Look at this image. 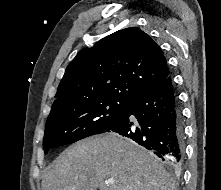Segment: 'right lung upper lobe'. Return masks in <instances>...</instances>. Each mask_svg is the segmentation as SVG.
Wrapping results in <instances>:
<instances>
[{"label":"right lung upper lobe","mask_w":221,"mask_h":190,"mask_svg":"<svg viewBox=\"0 0 221 190\" xmlns=\"http://www.w3.org/2000/svg\"><path fill=\"white\" fill-rule=\"evenodd\" d=\"M160 47L139 28L108 35L67 66L52 111L104 98L128 101L169 77Z\"/></svg>","instance_id":"obj_1"}]
</instances>
